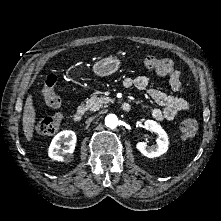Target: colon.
<instances>
[{"instance_id": "colon-1", "label": "colon", "mask_w": 221, "mask_h": 221, "mask_svg": "<svg viewBox=\"0 0 221 221\" xmlns=\"http://www.w3.org/2000/svg\"><path fill=\"white\" fill-rule=\"evenodd\" d=\"M145 66L159 75L174 77L177 73L175 63L169 58L151 56L145 59ZM57 78L50 75L41 90L42 97L47 106L58 109L61 106V100L56 93ZM62 112L58 111L54 114H44L37 122V131L41 135H53L61 126L63 121ZM198 131V121L195 117L189 116L184 119L179 128L182 139L193 137Z\"/></svg>"}]
</instances>
